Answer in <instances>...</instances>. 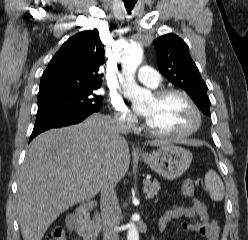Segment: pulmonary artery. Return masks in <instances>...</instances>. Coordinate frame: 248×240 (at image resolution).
<instances>
[{
  "label": "pulmonary artery",
  "instance_id": "obj_1",
  "mask_svg": "<svg viewBox=\"0 0 248 240\" xmlns=\"http://www.w3.org/2000/svg\"><path fill=\"white\" fill-rule=\"evenodd\" d=\"M137 78L139 81L152 88L157 87L161 82L158 72L148 66L140 67L137 72Z\"/></svg>",
  "mask_w": 248,
  "mask_h": 240
}]
</instances>
